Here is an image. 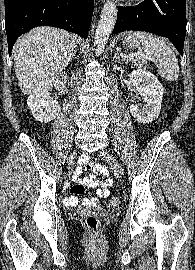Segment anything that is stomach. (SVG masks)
Wrapping results in <instances>:
<instances>
[{
  "mask_svg": "<svg viewBox=\"0 0 195 270\" xmlns=\"http://www.w3.org/2000/svg\"><path fill=\"white\" fill-rule=\"evenodd\" d=\"M122 42L125 46L131 47V48L139 46V39L131 35V33L123 34Z\"/></svg>",
  "mask_w": 195,
  "mask_h": 270,
  "instance_id": "obj_1",
  "label": "stomach"
}]
</instances>
